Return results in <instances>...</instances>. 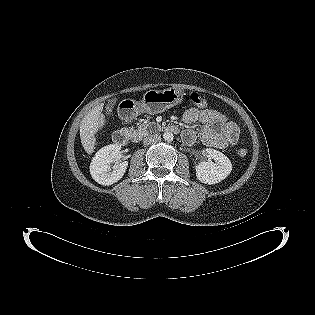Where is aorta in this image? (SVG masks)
I'll list each match as a JSON object with an SVG mask.
<instances>
[{
    "mask_svg": "<svg viewBox=\"0 0 315 315\" xmlns=\"http://www.w3.org/2000/svg\"><path fill=\"white\" fill-rule=\"evenodd\" d=\"M163 138L165 141L171 142L173 140L174 136H173L172 132H165L163 134Z\"/></svg>",
    "mask_w": 315,
    "mask_h": 315,
    "instance_id": "obj_1",
    "label": "aorta"
}]
</instances>
